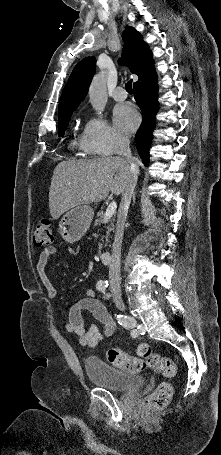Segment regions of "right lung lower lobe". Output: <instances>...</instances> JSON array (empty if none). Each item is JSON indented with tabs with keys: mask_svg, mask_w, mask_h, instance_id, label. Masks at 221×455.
Instances as JSON below:
<instances>
[{
	"mask_svg": "<svg viewBox=\"0 0 221 455\" xmlns=\"http://www.w3.org/2000/svg\"><path fill=\"white\" fill-rule=\"evenodd\" d=\"M157 76L152 61L134 83V98L142 111V123L135 135V142L142 162L149 164V149L155 126V115L159 109L157 101Z\"/></svg>",
	"mask_w": 221,
	"mask_h": 455,
	"instance_id": "98d812e1",
	"label": "right lung lower lobe"
}]
</instances>
